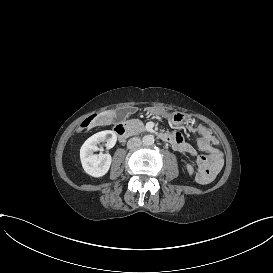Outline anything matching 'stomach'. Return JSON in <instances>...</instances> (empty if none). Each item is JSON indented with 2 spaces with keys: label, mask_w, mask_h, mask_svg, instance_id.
Wrapping results in <instances>:
<instances>
[{
  "label": "stomach",
  "mask_w": 273,
  "mask_h": 273,
  "mask_svg": "<svg viewBox=\"0 0 273 273\" xmlns=\"http://www.w3.org/2000/svg\"><path fill=\"white\" fill-rule=\"evenodd\" d=\"M153 115L161 116L174 126H185L190 122V116L180 111L169 112L162 107H149L146 109Z\"/></svg>",
  "instance_id": "stomach-1"
}]
</instances>
